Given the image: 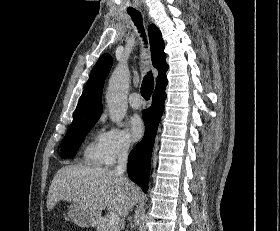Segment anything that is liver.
Returning a JSON list of instances; mask_svg holds the SVG:
<instances>
[{
	"label": "liver",
	"instance_id": "obj_1",
	"mask_svg": "<svg viewBox=\"0 0 280 231\" xmlns=\"http://www.w3.org/2000/svg\"><path fill=\"white\" fill-rule=\"evenodd\" d=\"M142 191L115 169L63 165L55 173L48 191L47 209L51 211L57 201H74L88 209L93 219H99L103 209L117 211L125 219Z\"/></svg>",
	"mask_w": 280,
	"mask_h": 231
}]
</instances>
